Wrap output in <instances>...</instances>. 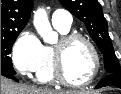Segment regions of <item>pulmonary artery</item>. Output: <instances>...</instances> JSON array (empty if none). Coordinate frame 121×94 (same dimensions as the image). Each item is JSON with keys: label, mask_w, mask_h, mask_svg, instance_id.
I'll use <instances>...</instances> for the list:
<instances>
[{"label": "pulmonary artery", "mask_w": 121, "mask_h": 94, "mask_svg": "<svg viewBox=\"0 0 121 94\" xmlns=\"http://www.w3.org/2000/svg\"><path fill=\"white\" fill-rule=\"evenodd\" d=\"M72 23L71 14L64 9H57L52 15V24L69 28Z\"/></svg>", "instance_id": "obj_1"}]
</instances>
